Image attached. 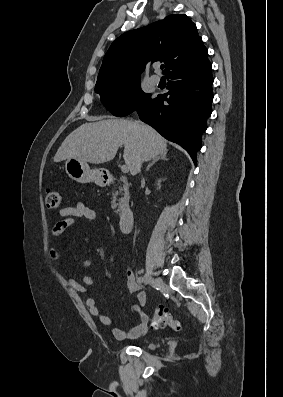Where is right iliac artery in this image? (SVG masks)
<instances>
[{"mask_svg": "<svg viewBox=\"0 0 283 397\" xmlns=\"http://www.w3.org/2000/svg\"><path fill=\"white\" fill-rule=\"evenodd\" d=\"M139 283H143L144 282V278L143 277H139L137 280Z\"/></svg>", "mask_w": 283, "mask_h": 397, "instance_id": "right-iliac-artery-1", "label": "right iliac artery"}]
</instances>
